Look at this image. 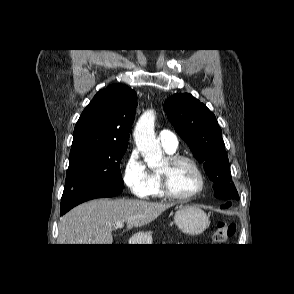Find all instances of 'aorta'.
<instances>
[{
  "label": "aorta",
  "instance_id": "obj_1",
  "mask_svg": "<svg viewBox=\"0 0 294 294\" xmlns=\"http://www.w3.org/2000/svg\"><path fill=\"white\" fill-rule=\"evenodd\" d=\"M155 114L153 110L144 112L134 129V138L138 149L148 167L155 168L162 164V149L155 136Z\"/></svg>",
  "mask_w": 294,
  "mask_h": 294
}]
</instances>
